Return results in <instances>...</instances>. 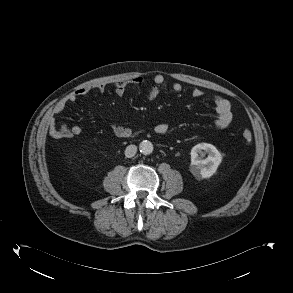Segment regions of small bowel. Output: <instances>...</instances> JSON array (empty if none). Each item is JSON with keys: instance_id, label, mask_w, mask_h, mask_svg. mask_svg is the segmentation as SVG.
I'll return each mask as SVG.
<instances>
[{"instance_id": "obj_1", "label": "small bowel", "mask_w": 293, "mask_h": 293, "mask_svg": "<svg viewBox=\"0 0 293 293\" xmlns=\"http://www.w3.org/2000/svg\"><path fill=\"white\" fill-rule=\"evenodd\" d=\"M145 80L142 77L134 78L130 81H120L117 82L114 86V91L118 96H123L129 86H144ZM96 90L103 92L106 89L105 84H98L94 87ZM169 88L174 92H181L182 85L178 82L169 83L166 78L162 74H157L153 78V83L150 86L146 87V96L148 99H155L161 92L162 89ZM92 87H81L74 92L68 94L63 100L59 101L53 109L50 111L48 116V121L51 125L50 134L55 138L62 137H74L81 134L82 129L78 125H74L70 130H68L65 134H59L55 131L54 127V117L60 113H62L68 103H73L77 100V98L81 96H85L92 90ZM192 95L195 98L202 97L204 95V91L200 88H195L192 91ZM214 110H215V120L214 126L217 129H225L227 128L233 119V113L230 102L220 96H216L214 98ZM111 129L115 136L118 138H129L132 135V130L128 127L117 124L116 122L110 121ZM169 130L168 124L161 122L155 126V132L158 134H165Z\"/></svg>"}]
</instances>
